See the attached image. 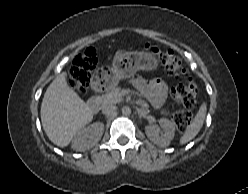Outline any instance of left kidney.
Masks as SVG:
<instances>
[{"label": "left kidney", "instance_id": "obj_1", "mask_svg": "<svg viewBox=\"0 0 248 194\" xmlns=\"http://www.w3.org/2000/svg\"><path fill=\"white\" fill-rule=\"evenodd\" d=\"M159 124L165 130V133L163 135L159 134V130L156 125L148 126L146 128V135L156 145L160 147H166L170 144L171 140L174 137L175 126L170 120L166 118L160 119Z\"/></svg>", "mask_w": 248, "mask_h": 194}]
</instances>
